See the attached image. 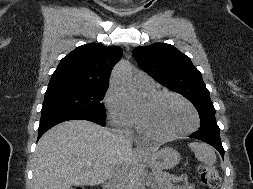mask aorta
Wrapping results in <instances>:
<instances>
[{"mask_svg": "<svg viewBox=\"0 0 253 189\" xmlns=\"http://www.w3.org/2000/svg\"><path fill=\"white\" fill-rule=\"evenodd\" d=\"M112 85L120 94L127 107L134 108L142 102V96L133 84L131 67L128 64H120L114 69ZM133 189H145L139 176L135 177Z\"/></svg>", "mask_w": 253, "mask_h": 189, "instance_id": "obj_1", "label": "aorta"}]
</instances>
